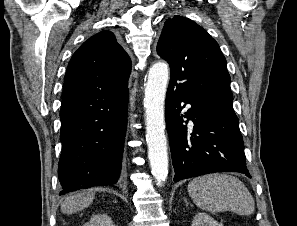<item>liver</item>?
Returning a JSON list of instances; mask_svg holds the SVG:
<instances>
[{
    "label": "liver",
    "instance_id": "liver-1",
    "mask_svg": "<svg viewBox=\"0 0 297 226\" xmlns=\"http://www.w3.org/2000/svg\"><path fill=\"white\" fill-rule=\"evenodd\" d=\"M95 195L82 192L68 197L61 205V211L65 214H73L87 208L94 200Z\"/></svg>",
    "mask_w": 297,
    "mask_h": 226
}]
</instances>
